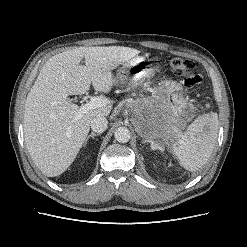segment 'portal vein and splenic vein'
<instances>
[{
    "label": "portal vein and splenic vein",
    "mask_w": 247,
    "mask_h": 247,
    "mask_svg": "<svg viewBox=\"0 0 247 247\" xmlns=\"http://www.w3.org/2000/svg\"><path fill=\"white\" fill-rule=\"evenodd\" d=\"M108 102L109 101L104 97L92 96L87 104L82 105L80 107L78 111V117L82 116V114L86 113L91 109L104 107L108 104Z\"/></svg>",
    "instance_id": "portal-vein-and-splenic-vein-1"
}]
</instances>
